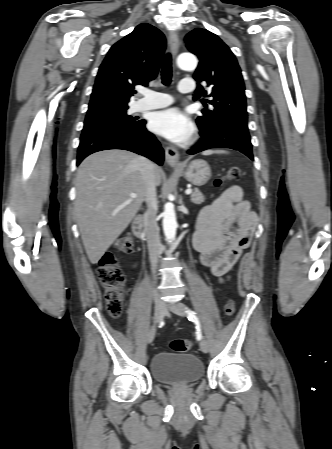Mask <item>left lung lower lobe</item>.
I'll list each match as a JSON object with an SVG mask.
<instances>
[{
  "label": "left lung lower lobe",
  "instance_id": "obj_1",
  "mask_svg": "<svg viewBox=\"0 0 332 449\" xmlns=\"http://www.w3.org/2000/svg\"><path fill=\"white\" fill-rule=\"evenodd\" d=\"M200 135V142L189 150L188 154L193 155L211 148H230L254 159L247 124L229 123L218 127L207 135L200 132Z\"/></svg>",
  "mask_w": 332,
  "mask_h": 449
}]
</instances>
